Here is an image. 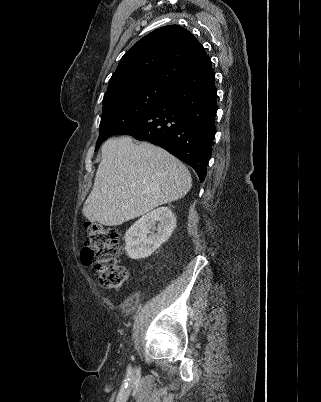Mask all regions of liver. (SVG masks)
I'll return each mask as SVG.
<instances>
[{
  "mask_svg": "<svg viewBox=\"0 0 321 402\" xmlns=\"http://www.w3.org/2000/svg\"><path fill=\"white\" fill-rule=\"evenodd\" d=\"M191 187L189 170L163 148L130 136L108 139L82 212L92 222L118 226L181 199Z\"/></svg>",
  "mask_w": 321,
  "mask_h": 402,
  "instance_id": "liver-1",
  "label": "liver"
}]
</instances>
